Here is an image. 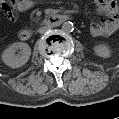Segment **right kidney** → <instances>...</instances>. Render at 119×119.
Listing matches in <instances>:
<instances>
[{
    "label": "right kidney",
    "instance_id": "obj_1",
    "mask_svg": "<svg viewBox=\"0 0 119 119\" xmlns=\"http://www.w3.org/2000/svg\"><path fill=\"white\" fill-rule=\"evenodd\" d=\"M18 53H16V51ZM31 56V49L27 43L16 42L8 46L2 53V60L11 68H19L27 63Z\"/></svg>",
    "mask_w": 119,
    "mask_h": 119
}]
</instances>
